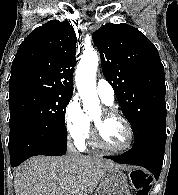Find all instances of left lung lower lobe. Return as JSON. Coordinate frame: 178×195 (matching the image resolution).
Here are the masks:
<instances>
[{
  "instance_id": "obj_1",
  "label": "left lung lower lobe",
  "mask_w": 178,
  "mask_h": 195,
  "mask_svg": "<svg viewBox=\"0 0 178 195\" xmlns=\"http://www.w3.org/2000/svg\"><path fill=\"white\" fill-rule=\"evenodd\" d=\"M166 138L167 137L153 138L133 146L122 155L105 156V158L118 163L145 167L158 179L163 164Z\"/></svg>"
}]
</instances>
